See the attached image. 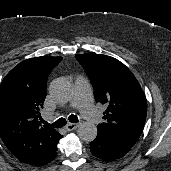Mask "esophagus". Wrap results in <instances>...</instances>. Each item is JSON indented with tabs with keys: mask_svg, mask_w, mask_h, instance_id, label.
Returning <instances> with one entry per match:
<instances>
[{
	"mask_svg": "<svg viewBox=\"0 0 171 171\" xmlns=\"http://www.w3.org/2000/svg\"><path fill=\"white\" fill-rule=\"evenodd\" d=\"M77 127H78V124L69 123V124L66 125L65 129L67 131H72V130H75Z\"/></svg>",
	"mask_w": 171,
	"mask_h": 171,
	"instance_id": "obj_1",
	"label": "esophagus"
}]
</instances>
